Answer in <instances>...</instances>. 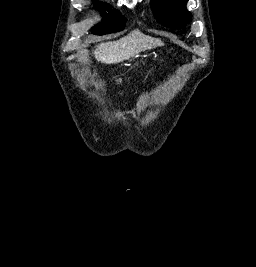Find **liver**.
Instances as JSON below:
<instances>
[{"label": "liver", "mask_w": 256, "mask_h": 267, "mask_svg": "<svg viewBox=\"0 0 256 267\" xmlns=\"http://www.w3.org/2000/svg\"><path fill=\"white\" fill-rule=\"evenodd\" d=\"M157 46H164V44L158 38H150L139 30H134V32H130L128 36L120 38L117 42L99 44V46H96L93 56L101 64H120L124 60L135 58L140 52L152 50Z\"/></svg>", "instance_id": "1"}]
</instances>
